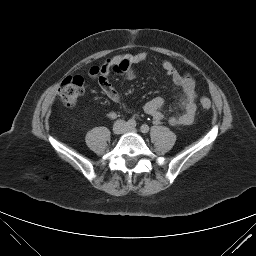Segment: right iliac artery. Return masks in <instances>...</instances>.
Returning <instances> with one entry per match:
<instances>
[{
    "label": "right iliac artery",
    "instance_id": "1",
    "mask_svg": "<svg viewBox=\"0 0 256 256\" xmlns=\"http://www.w3.org/2000/svg\"><path fill=\"white\" fill-rule=\"evenodd\" d=\"M126 124L129 127H135L136 126V121L134 119H129Z\"/></svg>",
    "mask_w": 256,
    "mask_h": 256
}]
</instances>
